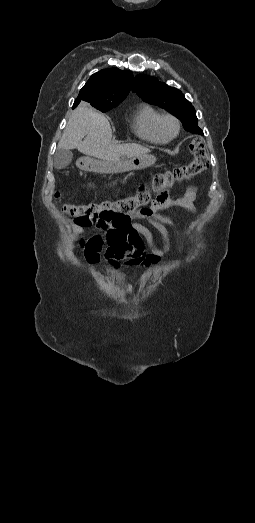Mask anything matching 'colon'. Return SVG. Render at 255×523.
<instances>
[{
	"label": "colon",
	"mask_w": 255,
	"mask_h": 523,
	"mask_svg": "<svg viewBox=\"0 0 255 523\" xmlns=\"http://www.w3.org/2000/svg\"><path fill=\"white\" fill-rule=\"evenodd\" d=\"M189 151L193 155V160L189 164L156 174L149 183L140 184L131 196L116 201L85 205L63 204L61 208L81 225L103 222L116 227L122 226L128 222L131 213L146 208L153 195L156 196L155 201H159L175 184L190 180L208 168L209 158L202 140L193 139ZM55 196L58 197L59 193L57 192Z\"/></svg>",
	"instance_id": "obj_1"
}]
</instances>
